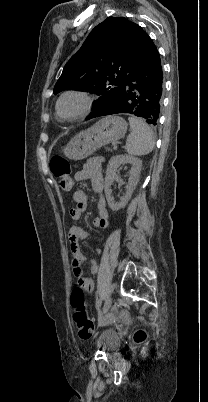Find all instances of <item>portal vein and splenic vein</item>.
<instances>
[{"label":"portal vein and splenic vein","instance_id":"1","mask_svg":"<svg viewBox=\"0 0 208 402\" xmlns=\"http://www.w3.org/2000/svg\"><path fill=\"white\" fill-rule=\"evenodd\" d=\"M112 148H113L114 150H117V145H116V144H113V145H112Z\"/></svg>","mask_w":208,"mask_h":402}]
</instances>
